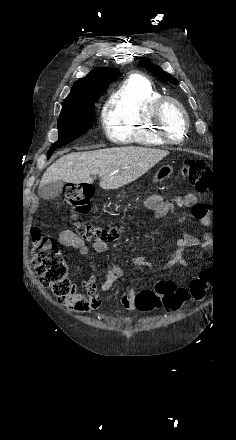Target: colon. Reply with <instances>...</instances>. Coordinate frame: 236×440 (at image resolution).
Segmentation results:
<instances>
[{"label":"colon","instance_id":"5ec220e1","mask_svg":"<svg viewBox=\"0 0 236 440\" xmlns=\"http://www.w3.org/2000/svg\"><path fill=\"white\" fill-rule=\"evenodd\" d=\"M181 174L186 176L199 192H205L211 186L212 172L201 159H186ZM92 194V187L89 184L68 186L63 193V203L70 208L74 228L83 239L91 242L112 241L118 235V229L103 228L78 221L80 215L89 211ZM31 234L32 264L35 271L41 283L49 287L63 302L73 291L69 279V265L52 237L42 234L37 228H33ZM221 282L220 276H201L193 279L187 290L171 281H160L154 290H142L136 299V305L144 312L161 307L168 311H176L185 304L189 295L194 300L201 301L205 297L207 285H220Z\"/></svg>","mask_w":236,"mask_h":440}]
</instances>
